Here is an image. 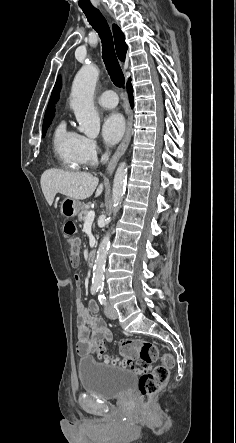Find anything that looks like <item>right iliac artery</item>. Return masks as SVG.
<instances>
[{
	"mask_svg": "<svg viewBox=\"0 0 236 443\" xmlns=\"http://www.w3.org/2000/svg\"><path fill=\"white\" fill-rule=\"evenodd\" d=\"M99 289H100V286L93 285V286L91 287V293H92V294H96V293L98 292Z\"/></svg>",
	"mask_w": 236,
	"mask_h": 443,
	"instance_id": "82829eb1",
	"label": "right iliac artery"
}]
</instances>
